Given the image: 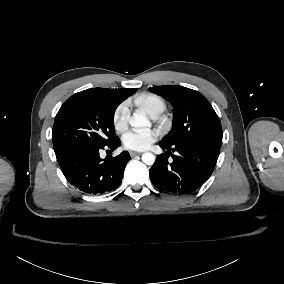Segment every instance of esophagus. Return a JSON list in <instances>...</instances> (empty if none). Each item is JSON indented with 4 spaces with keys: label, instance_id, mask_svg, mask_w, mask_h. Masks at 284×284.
<instances>
[{
    "label": "esophagus",
    "instance_id": "esophagus-1",
    "mask_svg": "<svg viewBox=\"0 0 284 284\" xmlns=\"http://www.w3.org/2000/svg\"><path fill=\"white\" fill-rule=\"evenodd\" d=\"M141 154H142V152H136V151H131L130 152L131 157H135V156L141 155Z\"/></svg>",
    "mask_w": 284,
    "mask_h": 284
}]
</instances>
